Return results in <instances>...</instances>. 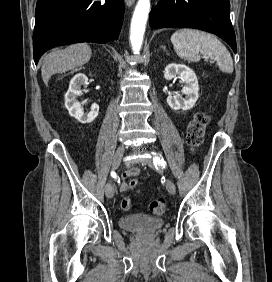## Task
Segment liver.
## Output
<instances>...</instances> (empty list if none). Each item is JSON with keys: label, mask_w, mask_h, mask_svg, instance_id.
Returning <instances> with one entry per match:
<instances>
[{"label": "liver", "mask_w": 272, "mask_h": 282, "mask_svg": "<svg viewBox=\"0 0 272 282\" xmlns=\"http://www.w3.org/2000/svg\"><path fill=\"white\" fill-rule=\"evenodd\" d=\"M92 55L86 43L73 44L63 50H54L43 58L41 74L45 84L52 75L86 64Z\"/></svg>", "instance_id": "obj_1"}]
</instances>
